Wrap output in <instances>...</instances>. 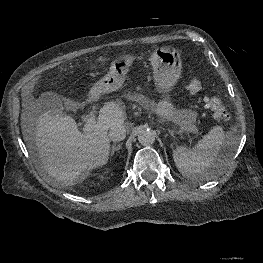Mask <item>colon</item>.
Wrapping results in <instances>:
<instances>
[{
  "label": "colon",
  "instance_id": "1",
  "mask_svg": "<svg viewBox=\"0 0 263 263\" xmlns=\"http://www.w3.org/2000/svg\"><path fill=\"white\" fill-rule=\"evenodd\" d=\"M188 91L192 95H198L202 90V84L199 79L192 77L188 83ZM201 101L208 107L217 121H225L228 119V112L222 101L216 96H204Z\"/></svg>",
  "mask_w": 263,
  "mask_h": 263
}]
</instances>
